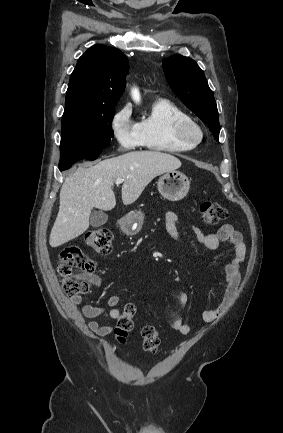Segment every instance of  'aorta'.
Masks as SVG:
<instances>
[{
  "label": "aorta",
  "instance_id": "762f6f07",
  "mask_svg": "<svg viewBox=\"0 0 283 433\" xmlns=\"http://www.w3.org/2000/svg\"><path fill=\"white\" fill-rule=\"evenodd\" d=\"M131 96L134 102L139 103L141 100V96L137 87H133L131 89Z\"/></svg>",
  "mask_w": 283,
  "mask_h": 433
}]
</instances>
